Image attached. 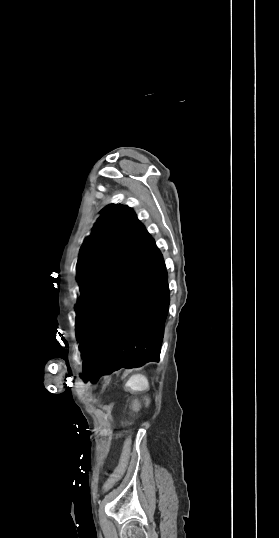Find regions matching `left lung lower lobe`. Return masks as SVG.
I'll return each instance as SVG.
<instances>
[{"label": "left lung lower lobe", "mask_w": 279, "mask_h": 538, "mask_svg": "<svg viewBox=\"0 0 279 538\" xmlns=\"http://www.w3.org/2000/svg\"><path fill=\"white\" fill-rule=\"evenodd\" d=\"M169 302L164 260L148 234L76 322L85 375L94 382L159 361Z\"/></svg>", "instance_id": "1"}]
</instances>
